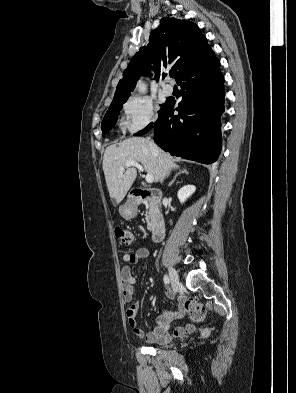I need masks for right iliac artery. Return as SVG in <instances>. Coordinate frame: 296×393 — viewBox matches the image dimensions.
Returning a JSON list of instances; mask_svg holds the SVG:
<instances>
[{
    "label": "right iliac artery",
    "mask_w": 296,
    "mask_h": 393,
    "mask_svg": "<svg viewBox=\"0 0 296 393\" xmlns=\"http://www.w3.org/2000/svg\"><path fill=\"white\" fill-rule=\"evenodd\" d=\"M163 280H164L165 284H169L170 283V279H169V277L167 275H164Z\"/></svg>",
    "instance_id": "obj_1"
}]
</instances>
